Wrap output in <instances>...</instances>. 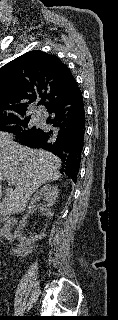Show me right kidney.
Returning a JSON list of instances; mask_svg holds the SVG:
<instances>
[{
  "label": "right kidney",
  "mask_w": 118,
  "mask_h": 320,
  "mask_svg": "<svg viewBox=\"0 0 118 320\" xmlns=\"http://www.w3.org/2000/svg\"><path fill=\"white\" fill-rule=\"evenodd\" d=\"M58 187L56 185L46 184L39 191H37L31 198L30 204L26 210V214L22 217L19 222V225L15 231V235L20 242L21 250L25 253H31L32 247L36 241L41 240L45 237V232H41L39 235L31 236L29 238L22 235V230L26 225V220L29 215L35 211L45 215L48 218L53 216L51 212V207L55 204V201L58 197ZM40 200H43V204L39 203ZM47 227V225H46Z\"/></svg>",
  "instance_id": "right-kidney-1"
}]
</instances>
